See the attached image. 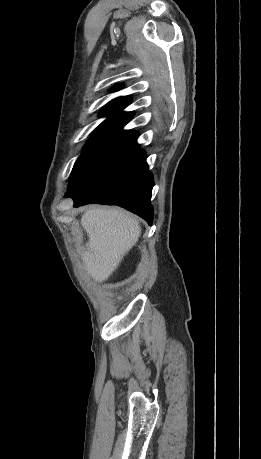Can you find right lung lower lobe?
<instances>
[{"mask_svg":"<svg viewBox=\"0 0 261 459\" xmlns=\"http://www.w3.org/2000/svg\"><path fill=\"white\" fill-rule=\"evenodd\" d=\"M153 184L146 154L138 148L102 178L87 195L73 198L74 206L90 203L118 205L144 218L151 225L153 208L150 200Z\"/></svg>","mask_w":261,"mask_h":459,"instance_id":"1","label":"right lung lower lobe"}]
</instances>
